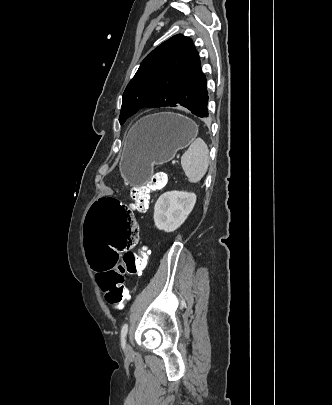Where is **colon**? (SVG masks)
<instances>
[{
  "instance_id": "obj_1",
  "label": "colon",
  "mask_w": 332,
  "mask_h": 405,
  "mask_svg": "<svg viewBox=\"0 0 332 405\" xmlns=\"http://www.w3.org/2000/svg\"><path fill=\"white\" fill-rule=\"evenodd\" d=\"M167 180L165 174L157 173L147 183L133 187L130 196L134 208L146 210L150 191L163 188ZM88 219L85 228L87 266L98 273L97 280L106 301L114 309H121L128 297L125 275L140 274L147 266L145 247L129 251L139 242L141 228L136 227L134 211H130L127 202H121L120 197H99L97 202H92Z\"/></svg>"
}]
</instances>
